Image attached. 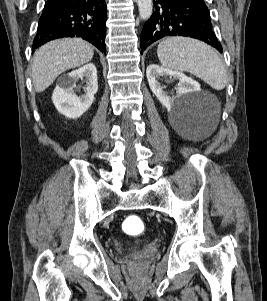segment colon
Segmentation results:
<instances>
[{"mask_svg":"<svg viewBox=\"0 0 267 301\" xmlns=\"http://www.w3.org/2000/svg\"><path fill=\"white\" fill-rule=\"evenodd\" d=\"M122 229L128 235H139L144 230V224L141 218L137 215H129L124 219L122 223ZM135 260L137 263H139V253L135 255Z\"/></svg>","mask_w":267,"mask_h":301,"instance_id":"obj_1","label":"colon"}]
</instances>
